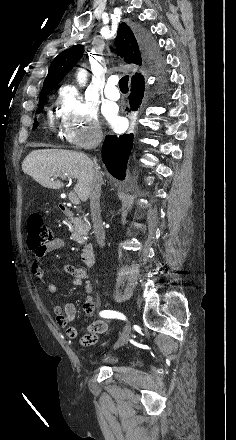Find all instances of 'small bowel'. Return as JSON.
Masks as SVG:
<instances>
[{
  "instance_id": "c3829d8e",
  "label": "small bowel",
  "mask_w": 236,
  "mask_h": 440,
  "mask_svg": "<svg viewBox=\"0 0 236 440\" xmlns=\"http://www.w3.org/2000/svg\"><path fill=\"white\" fill-rule=\"evenodd\" d=\"M63 246V239L54 238L43 247L34 250L35 261L31 264V272L38 279L44 280L46 276V271L43 265L40 263V260L48 253L62 249ZM64 271L73 277L72 284L74 286L85 287L87 296L83 304V311L87 316H91L95 309V303L92 297V286L86 272L83 269L74 265H65ZM47 289L50 293L58 292V287L53 282L48 283ZM50 306L53 314L55 315L56 324L60 328L66 330V334L69 339H76L78 336V331L75 327L72 326V322L76 316V306L71 302L66 303L64 306H61L58 303H51ZM106 328L107 323L102 320L93 322L90 326V333L82 338V343L84 345L94 344L98 339V335L102 332H105Z\"/></svg>"
}]
</instances>
